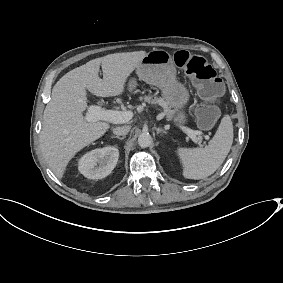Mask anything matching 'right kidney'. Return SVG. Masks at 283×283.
<instances>
[{"mask_svg":"<svg viewBox=\"0 0 283 283\" xmlns=\"http://www.w3.org/2000/svg\"><path fill=\"white\" fill-rule=\"evenodd\" d=\"M119 151L115 147L96 149L79 162V171L89 179H101L109 175L117 164Z\"/></svg>","mask_w":283,"mask_h":283,"instance_id":"right-kidney-1","label":"right kidney"}]
</instances>
